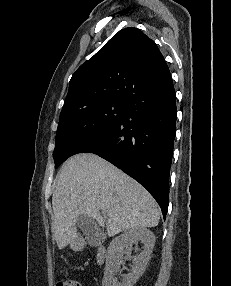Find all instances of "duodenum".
I'll return each instance as SVG.
<instances>
[{"label": "duodenum", "mask_w": 231, "mask_h": 286, "mask_svg": "<svg viewBox=\"0 0 231 286\" xmlns=\"http://www.w3.org/2000/svg\"><path fill=\"white\" fill-rule=\"evenodd\" d=\"M107 257V250L104 246H98L97 249V263L102 265Z\"/></svg>", "instance_id": "410a0bca"}]
</instances>
